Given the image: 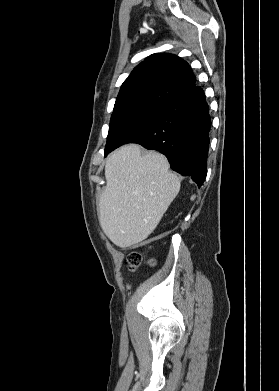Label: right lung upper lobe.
<instances>
[{"instance_id": "obj_1", "label": "right lung upper lobe", "mask_w": 279, "mask_h": 391, "mask_svg": "<svg viewBox=\"0 0 279 391\" xmlns=\"http://www.w3.org/2000/svg\"><path fill=\"white\" fill-rule=\"evenodd\" d=\"M196 86L188 63L167 53L152 54L124 81L114 111L138 106H164Z\"/></svg>"}]
</instances>
